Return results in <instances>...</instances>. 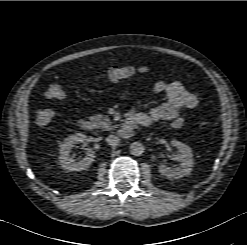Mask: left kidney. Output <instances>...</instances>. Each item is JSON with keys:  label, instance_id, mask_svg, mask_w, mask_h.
Returning a JSON list of instances; mask_svg holds the SVG:
<instances>
[{"label": "left kidney", "instance_id": "1", "mask_svg": "<svg viewBox=\"0 0 247 245\" xmlns=\"http://www.w3.org/2000/svg\"><path fill=\"white\" fill-rule=\"evenodd\" d=\"M172 145L178 149V153L174 155V160L180 164L174 168L166 167L165 165H159V172L168 178H181L187 176L192 171L193 166V153L192 149L179 141L173 140Z\"/></svg>", "mask_w": 247, "mask_h": 245}]
</instances>
